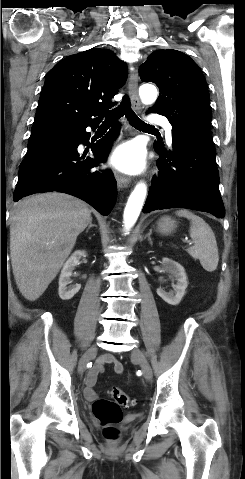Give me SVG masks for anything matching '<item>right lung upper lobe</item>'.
Wrapping results in <instances>:
<instances>
[{"label": "right lung upper lobe", "instance_id": "right-lung-upper-lobe-1", "mask_svg": "<svg viewBox=\"0 0 245 479\" xmlns=\"http://www.w3.org/2000/svg\"><path fill=\"white\" fill-rule=\"evenodd\" d=\"M127 65L107 49L92 48L62 59L46 76L32 132L102 120L127 79Z\"/></svg>", "mask_w": 245, "mask_h": 479}]
</instances>
